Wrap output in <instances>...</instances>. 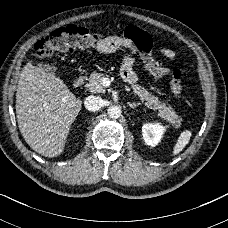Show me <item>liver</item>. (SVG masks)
<instances>
[{
	"label": "liver",
	"instance_id": "6515ba94",
	"mask_svg": "<svg viewBox=\"0 0 228 228\" xmlns=\"http://www.w3.org/2000/svg\"><path fill=\"white\" fill-rule=\"evenodd\" d=\"M82 101L62 80L28 62L18 81L16 115L26 143L45 157L63 152L70 127Z\"/></svg>",
	"mask_w": 228,
	"mask_h": 228
}]
</instances>
